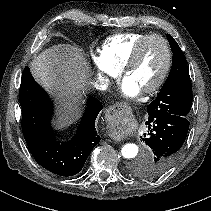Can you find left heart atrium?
I'll return each mask as SVG.
<instances>
[{"instance_id": "39dd6f15", "label": "left heart atrium", "mask_w": 211, "mask_h": 211, "mask_svg": "<svg viewBox=\"0 0 211 211\" xmlns=\"http://www.w3.org/2000/svg\"><path fill=\"white\" fill-rule=\"evenodd\" d=\"M121 93L125 97L134 98L141 93V90L131 79L126 77L121 85Z\"/></svg>"}]
</instances>
